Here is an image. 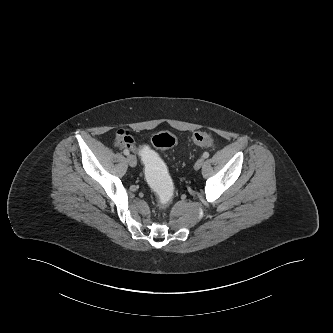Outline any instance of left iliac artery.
<instances>
[{
    "mask_svg": "<svg viewBox=\"0 0 333 333\" xmlns=\"http://www.w3.org/2000/svg\"><path fill=\"white\" fill-rule=\"evenodd\" d=\"M203 157H204V158H208V157H209V153H208V152H204V153H203Z\"/></svg>",
    "mask_w": 333,
    "mask_h": 333,
    "instance_id": "left-iliac-artery-1",
    "label": "left iliac artery"
}]
</instances>
